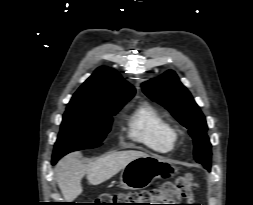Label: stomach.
<instances>
[{"label": "stomach", "mask_w": 253, "mask_h": 205, "mask_svg": "<svg viewBox=\"0 0 253 205\" xmlns=\"http://www.w3.org/2000/svg\"><path fill=\"white\" fill-rule=\"evenodd\" d=\"M176 167L169 161L157 156H142L129 162L120 175V186L125 189L140 190L162 177L173 176Z\"/></svg>", "instance_id": "obj_1"}]
</instances>
